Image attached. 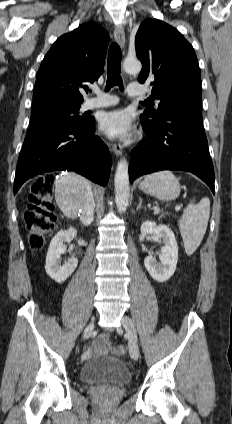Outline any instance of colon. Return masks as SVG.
<instances>
[{
    "label": "colon",
    "mask_w": 232,
    "mask_h": 424,
    "mask_svg": "<svg viewBox=\"0 0 232 424\" xmlns=\"http://www.w3.org/2000/svg\"><path fill=\"white\" fill-rule=\"evenodd\" d=\"M24 221L29 231V245L33 251L40 250L46 237L55 228L54 203L49 187L41 180L34 181L30 187L29 204L24 214ZM125 344H116V354L126 352Z\"/></svg>",
    "instance_id": "1"
}]
</instances>
